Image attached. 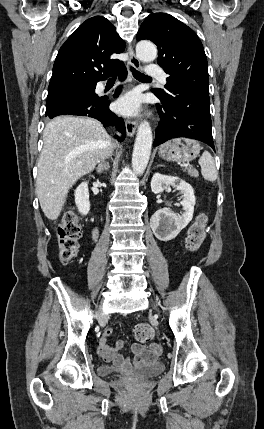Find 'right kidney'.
Segmentation results:
<instances>
[{
	"instance_id": "right-kidney-1",
	"label": "right kidney",
	"mask_w": 264,
	"mask_h": 429,
	"mask_svg": "<svg viewBox=\"0 0 264 429\" xmlns=\"http://www.w3.org/2000/svg\"><path fill=\"white\" fill-rule=\"evenodd\" d=\"M75 204L82 215L90 210L88 182H82L75 190Z\"/></svg>"
}]
</instances>
